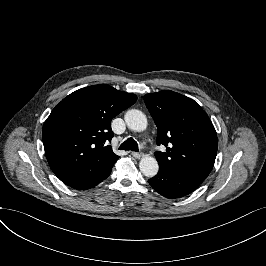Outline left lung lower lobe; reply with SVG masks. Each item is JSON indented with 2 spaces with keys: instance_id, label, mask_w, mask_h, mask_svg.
<instances>
[{
  "instance_id": "0a47b994",
  "label": "left lung lower lobe",
  "mask_w": 266,
  "mask_h": 266,
  "mask_svg": "<svg viewBox=\"0 0 266 266\" xmlns=\"http://www.w3.org/2000/svg\"><path fill=\"white\" fill-rule=\"evenodd\" d=\"M149 184L166 198H180L192 193L201 183L175 171L159 166L156 176L148 180Z\"/></svg>"
}]
</instances>
